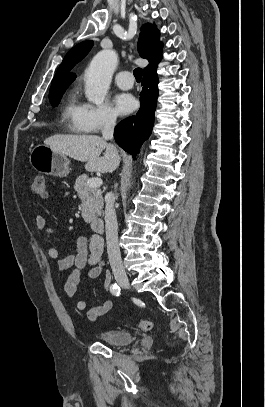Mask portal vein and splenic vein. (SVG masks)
<instances>
[{"label":"portal vein and splenic vein","instance_id":"obj_1","mask_svg":"<svg viewBox=\"0 0 265 407\" xmlns=\"http://www.w3.org/2000/svg\"><path fill=\"white\" fill-rule=\"evenodd\" d=\"M87 185L89 187H100L102 185V180L98 177H95V178L89 179L87 181Z\"/></svg>","mask_w":265,"mask_h":407}]
</instances>
